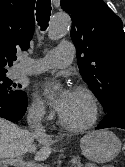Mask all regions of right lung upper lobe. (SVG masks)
Listing matches in <instances>:
<instances>
[{
	"instance_id": "right-lung-upper-lobe-1",
	"label": "right lung upper lobe",
	"mask_w": 125,
	"mask_h": 167,
	"mask_svg": "<svg viewBox=\"0 0 125 167\" xmlns=\"http://www.w3.org/2000/svg\"><path fill=\"white\" fill-rule=\"evenodd\" d=\"M35 0H0V73L16 60L18 50L26 51L34 34Z\"/></svg>"
}]
</instances>
